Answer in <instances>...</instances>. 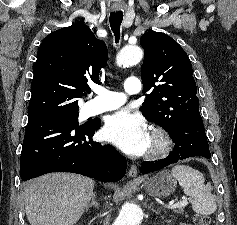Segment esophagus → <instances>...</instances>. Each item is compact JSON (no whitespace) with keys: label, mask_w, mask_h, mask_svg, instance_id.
<instances>
[{"label":"esophagus","mask_w":237,"mask_h":225,"mask_svg":"<svg viewBox=\"0 0 237 225\" xmlns=\"http://www.w3.org/2000/svg\"><path fill=\"white\" fill-rule=\"evenodd\" d=\"M138 174V169L137 166L134 164L130 165L129 171H128V175L129 177H136Z\"/></svg>","instance_id":"esophagus-1"}]
</instances>
